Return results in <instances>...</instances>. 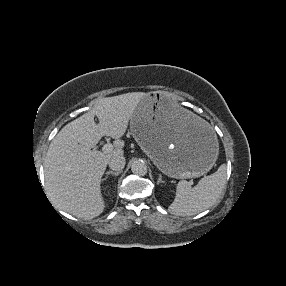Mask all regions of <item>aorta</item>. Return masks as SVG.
<instances>
[{
    "label": "aorta",
    "instance_id": "1",
    "mask_svg": "<svg viewBox=\"0 0 286 286\" xmlns=\"http://www.w3.org/2000/svg\"><path fill=\"white\" fill-rule=\"evenodd\" d=\"M131 171L135 175L144 176L147 173V165L143 160H140V159L132 160Z\"/></svg>",
    "mask_w": 286,
    "mask_h": 286
}]
</instances>
